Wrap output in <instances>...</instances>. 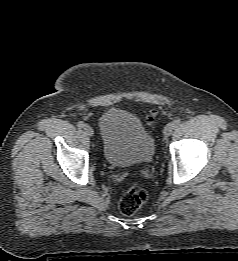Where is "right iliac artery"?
<instances>
[{
  "instance_id": "82829eb1",
  "label": "right iliac artery",
  "mask_w": 238,
  "mask_h": 261,
  "mask_svg": "<svg viewBox=\"0 0 238 261\" xmlns=\"http://www.w3.org/2000/svg\"><path fill=\"white\" fill-rule=\"evenodd\" d=\"M77 126H78L79 128H84L85 123L82 122V121H79V122L77 123Z\"/></svg>"
}]
</instances>
